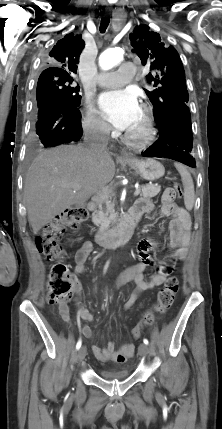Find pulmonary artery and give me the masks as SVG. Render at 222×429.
<instances>
[{"mask_svg":"<svg viewBox=\"0 0 222 429\" xmlns=\"http://www.w3.org/2000/svg\"><path fill=\"white\" fill-rule=\"evenodd\" d=\"M136 74V66L132 62H123L118 71L101 73L97 77L98 85L115 88L130 81Z\"/></svg>","mask_w":222,"mask_h":429,"instance_id":"1","label":"pulmonary artery"}]
</instances>
